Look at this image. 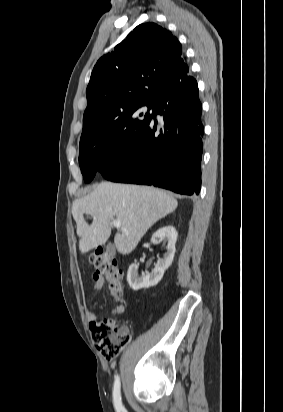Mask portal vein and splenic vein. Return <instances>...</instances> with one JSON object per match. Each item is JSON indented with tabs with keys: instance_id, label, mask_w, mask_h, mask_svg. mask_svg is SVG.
<instances>
[{
	"instance_id": "obj_1",
	"label": "portal vein and splenic vein",
	"mask_w": 283,
	"mask_h": 412,
	"mask_svg": "<svg viewBox=\"0 0 283 412\" xmlns=\"http://www.w3.org/2000/svg\"><path fill=\"white\" fill-rule=\"evenodd\" d=\"M112 225H113L115 228H121V229L124 231V229L121 227V222H120V221L113 220V221H112Z\"/></svg>"
}]
</instances>
